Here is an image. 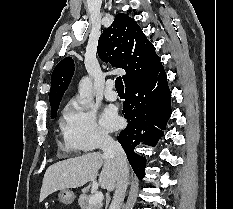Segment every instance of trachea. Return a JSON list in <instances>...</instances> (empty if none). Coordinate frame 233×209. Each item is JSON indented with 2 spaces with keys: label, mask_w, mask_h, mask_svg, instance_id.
<instances>
[{
  "label": "trachea",
  "mask_w": 233,
  "mask_h": 209,
  "mask_svg": "<svg viewBox=\"0 0 233 209\" xmlns=\"http://www.w3.org/2000/svg\"><path fill=\"white\" fill-rule=\"evenodd\" d=\"M115 88L116 90H124V85H123V82H122V78L121 76L117 77L116 80H115Z\"/></svg>",
  "instance_id": "1"
}]
</instances>
